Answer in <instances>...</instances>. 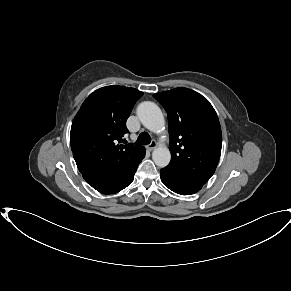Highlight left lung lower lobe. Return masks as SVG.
Instances as JSON below:
<instances>
[{"instance_id": "left-lung-lower-lobe-1", "label": "left lung lower lobe", "mask_w": 291, "mask_h": 291, "mask_svg": "<svg viewBox=\"0 0 291 291\" xmlns=\"http://www.w3.org/2000/svg\"><path fill=\"white\" fill-rule=\"evenodd\" d=\"M160 175L166 187L181 195L194 194L203 186V184L188 179L168 167L161 169Z\"/></svg>"}]
</instances>
